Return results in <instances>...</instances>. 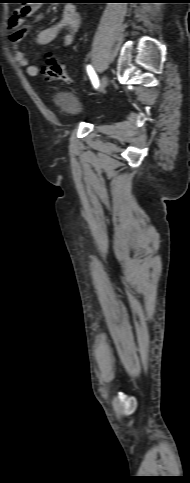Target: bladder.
<instances>
[{
	"label": "bladder",
	"instance_id": "bladder-1",
	"mask_svg": "<svg viewBox=\"0 0 190 483\" xmlns=\"http://www.w3.org/2000/svg\"><path fill=\"white\" fill-rule=\"evenodd\" d=\"M53 104L62 113L68 116L81 114L83 104L78 97L71 92H60L53 97Z\"/></svg>",
	"mask_w": 190,
	"mask_h": 483
}]
</instances>
